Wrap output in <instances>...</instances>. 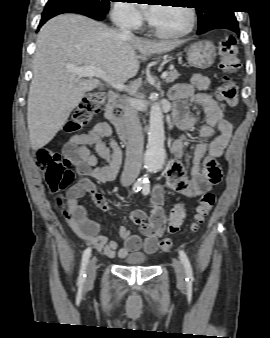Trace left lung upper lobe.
<instances>
[{"mask_svg": "<svg viewBox=\"0 0 270 338\" xmlns=\"http://www.w3.org/2000/svg\"><path fill=\"white\" fill-rule=\"evenodd\" d=\"M198 34L205 33L229 17H235L234 11L227 7L228 0H197Z\"/></svg>", "mask_w": 270, "mask_h": 338, "instance_id": "5c2ea615", "label": "left lung upper lobe"}]
</instances>
